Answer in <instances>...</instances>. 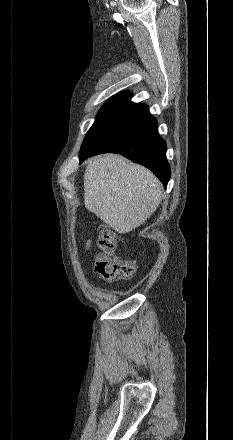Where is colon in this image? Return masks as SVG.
Returning a JSON list of instances; mask_svg holds the SVG:
<instances>
[{"mask_svg": "<svg viewBox=\"0 0 233 440\" xmlns=\"http://www.w3.org/2000/svg\"><path fill=\"white\" fill-rule=\"evenodd\" d=\"M97 247L95 270L102 278L116 281L130 278L134 274V262L123 259L118 255V237L109 226H100Z\"/></svg>", "mask_w": 233, "mask_h": 440, "instance_id": "5ec220e1", "label": "colon"}]
</instances>
